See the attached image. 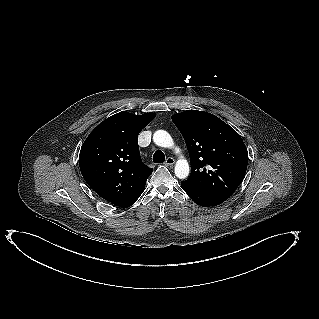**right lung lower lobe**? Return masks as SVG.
<instances>
[{"instance_id":"98d812e1","label":"right lung lower lobe","mask_w":319,"mask_h":319,"mask_svg":"<svg viewBox=\"0 0 319 319\" xmlns=\"http://www.w3.org/2000/svg\"><path fill=\"white\" fill-rule=\"evenodd\" d=\"M143 189L140 190L136 195L124 200L123 202L119 203L117 206L121 207V208H127L129 206H131L142 194Z\"/></svg>"}]
</instances>
